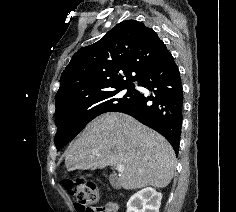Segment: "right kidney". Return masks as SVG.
<instances>
[{"label": "right kidney", "instance_id": "ca27d5eb", "mask_svg": "<svg viewBox=\"0 0 236 212\" xmlns=\"http://www.w3.org/2000/svg\"><path fill=\"white\" fill-rule=\"evenodd\" d=\"M162 195L151 187L144 188L130 197L127 212H159Z\"/></svg>", "mask_w": 236, "mask_h": 212}]
</instances>
